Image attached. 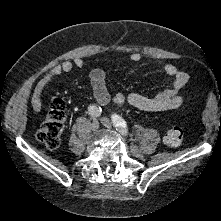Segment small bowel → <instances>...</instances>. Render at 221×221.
I'll use <instances>...</instances> for the list:
<instances>
[{"label": "small bowel", "instance_id": "small-bowel-1", "mask_svg": "<svg viewBox=\"0 0 221 221\" xmlns=\"http://www.w3.org/2000/svg\"><path fill=\"white\" fill-rule=\"evenodd\" d=\"M130 60L134 63L141 61L139 53H132ZM84 65L82 58L67 60L56 65L49 71L45 72L34 87L32 102L36 111L41 110V95L46 86L57 76L62 73L70 72L74 66L81 68ZM162 71L172 79L170 88L165 89L155 96L147 97L138 93H116L112 98L106 88L105 72L102 69H93L89 74L90 83L93 89L94 98L100 106H106L111 100L114 104L122 107L125 103L144 111H167L181 107L183 96L181 90L187 84L189 76L186 72L179 70L172 64L159 62Z\"/></svg>", "mask_w": 221, "mask_h": 221}]
</instances>
